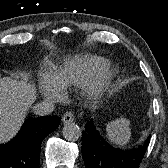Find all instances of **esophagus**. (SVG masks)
I'll use <instances>...</instances> for the list:
<instances>
[{
  "label": "esophagus",
  "mask_w": 168,
  "mask_h": 168,
  "mask_svg": "<svg viewBox=\"0 0 168 168\" xmlns=\"http://www.w3.org/2000/svg\"><path fill=\"white\" fill-rule=\"evenodd\" d=\"M74 119H75V117H74L73 113H71V112H66L62 116V122L64 124L71 123L74 121Z\"/></svg>",
  "instance_id": "34e87169"
}]
</instances>
